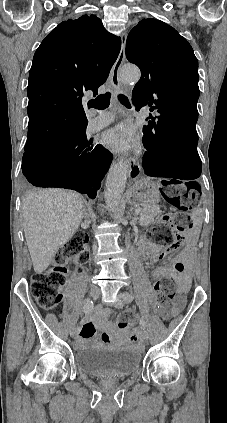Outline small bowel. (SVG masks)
Masks as SVG:
<instances>
[{
	"mask_svg": "<svg viewBox=\"0 0 227 423\" xmlns=\"http://www.w3.org/2000/svg\"><path fill=\"white\" fill-rule=\"evenodd\" d=\"M165 255L166 250H164L156 243L148 244V250L143 254L144 259L149 266H153ZM186 258L187 255L185 254L176 259L174 263V268L180 273L179 282L182 289L186 288L189 280V273L186 269L185 263ZM170 273L171 269L166 266H157L153 270V276L156 279L165 277ZM184 302L185 301L183 298H179L175 300L170 306H159V313L161 317L165 320H169L175 317L181 311ZM110 314V309L100 307L96 308L93 312H90V314L87 315L83 320L81 330L78 332V336L76 337V345L78 347L86 346L95 338L97 329L103 331L101 339L104 343H112L121 340L134 342L139 338L140 332L138 330H134L129 334L117 333L114 329V326L108 321Z\"/></svg>",
	"mask_w": 227,
	"mask_h": 423,
	"instance_id": "c3829d8e",
	"label": "small bowel"
}]
</instances>
